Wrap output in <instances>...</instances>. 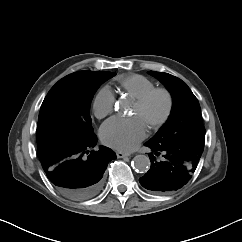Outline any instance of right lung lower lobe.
<instances>
[{
	"mask_svg": "<svg viewBox=\"0 0 242 242\" xmlns=\"http://www.w3.org/2000/svg\"><path fill=\"white\" fill-rule=\"evenodd\" d=\"M96 142L93 133L81 141L56 138L38 146V156L48 179L63 195L88 199L100 191L107 164L116 155L105 146L91 150Z\"/></svg>",
	"mask_w": 242,
	"mask_h": 242,
	"instance_id": "1",
	"label": "right lung lower lobe"
}]
</instances>
